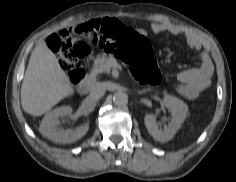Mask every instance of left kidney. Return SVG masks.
Listing matches in <instances>:
<instances>
[{"instance_id":"5707ae66","label":"left kidney","mask_w":236,"mask_h":182,"mask_svg":"<svg viewBox=\"0 0 236 182\" xmlns=\"http://www.w3.org/2000/svg\"><path fill=\"white\" fill-rule=\"evenodd\" d=\"M163 106L167 108L172 118L168 126L162 130L156 123L155 114L145 115L144 122L149 134L159 142H167L172 139L178 129L181 127L188 114V106L177 97L165 95L163 98Z\"/></svg>"}]
</instances>
